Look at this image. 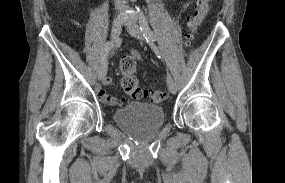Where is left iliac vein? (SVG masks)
<instances>
[{"label":"left iliac vein","instance_id":"1","mask_svg":"<svg viewBox=\"0 0 285 183\" xmlns=\"http://www.w3.org/2000/svg\"><path fill=\"white\" fill-rule=\"evenodd\" d=\"M126 30L128 31V33H130L133 37L143 40V36L142 33L140 31V28L137 24L135 23H130L126 25ZM167 85L168 88L170 90L171 93L175 94L177 91V86H176V82L174 81V79L172 78L171 75H168L167 77Z\"/></svg>","mask_w":285,"mask_h":183}]
</instances>
